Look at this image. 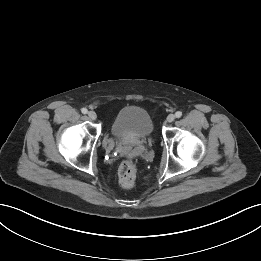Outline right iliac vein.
<instances>
[{
    "label": "right iliac vein",
    "mask_w": 261,
    "mask_h": 261,
    "mask_svg": "<svg viewBox=\"0 0 261 261\" xmlns=\"http://www.w3.org/2000/svg\"><path fill=\"white\" fill-rule=\"evenodd\" d=\"M88 117L90 118V120H96L97 115L94 111H89L88 112Z\"/></svg>",
    "instance_id": "63e3f726"
}]
</instances>
